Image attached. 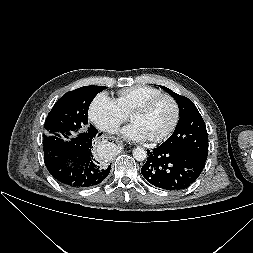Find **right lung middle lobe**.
I'll use <instances>...</instances> for the list:
<instances>
[{
  "instance_id": "dd1d6c3e",
  "label": "right lung middle lobe",
  "mask_w": 253,
  "mask_h": 253,
  "mask_svg": "<svg viewBox=\"0 0 253 253\" xmlns=\"http://www.w3.org/2000/svg\"><path fill=\"white\" fill-rule=\"evenodd\" d=\"M104 86H84L64 94L49 112L44 128V143L67 141L87 133L93 128L88 124V109Z\"/></svg>"
}]
</instances>
